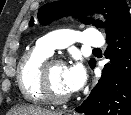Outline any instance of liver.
<instances>
[{"label": "liver", "mask_w": 131, "mask_h": 115, "mask_svg": "<svg viewBox=\"0 0 131 115\" xmlns=\"http://www.w3.org/2000/svg\"><path fill=\"white\" fill-rule=\"evenodd\" d=\"M14 115H56L54 112L42 110L34 106H18L12 112Z\"/></svg>", "instance_id": "liver-1"}]
</instances>
